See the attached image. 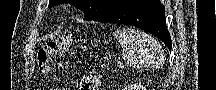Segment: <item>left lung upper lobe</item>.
<instances>
[{
    "label": "left lung upper lobe",
    "mask_w": 216,
    "mask_h": 90,
    "mask_svg": "<svg viewBox=\"0 0 216 90\" xmlns=\"http://www.w3.org/2000/svg\"><path fill=\"white\" fill-rule=\"evenodd\" d=\"M126 1L127 0H50L49 7L61 3H70L84 12V20L92 21L101 14L124 4Z\"/></svg>",
    "instance_id": "1"
}]
</instances>
